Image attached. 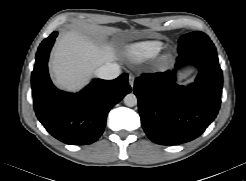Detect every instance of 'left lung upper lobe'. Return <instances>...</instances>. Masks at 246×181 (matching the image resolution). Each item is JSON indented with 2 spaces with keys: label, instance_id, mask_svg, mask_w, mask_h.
Instances as JSON below:
<instances>
[{
  "label": "left lung upper lobe",
  "instance_id": "obj_1",
  "mask_svg": "<svg viewBox=\"0 0 246 181\" xmlns=\"http://www.w3.org/2000/svg\"><path fill=\"white\" fill-rule=\"evenodd\" d=\"M208 41H211L209 39V37L202 33V32H191V33H188L184 36H182L180 39H179V47H178V50H181V49H185V48H188V47H192V46H196V45H199L201 43H205V42H208Z\"/></svg>",
  "mask_w": 246,
  "mask_h": 181
}]
</instances>
